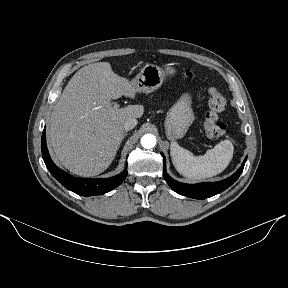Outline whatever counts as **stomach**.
I'll list each match as a JSON object with an SVG mask.
<instances>
[{"mask_svg":"<svg viewBox=\"0 0 288 288\" xmlns=\"http://www.w3.org/2000/svg\"><path fill=\"white\" fill-rule=\"evenodd\" d=\"M176 73L174 67L167 65L164 68L148 63L141 68L140 73L131 81L137 92L151 93L161 87L165 76ZM192 97L184 93L170 108L165 120V132L169 139L182 138L194 121L191 108Z\"/></svg>","mask_w":288,"mask_h":288,"instance_id":"0dacf381","label":"stomach"}]
</instances>
